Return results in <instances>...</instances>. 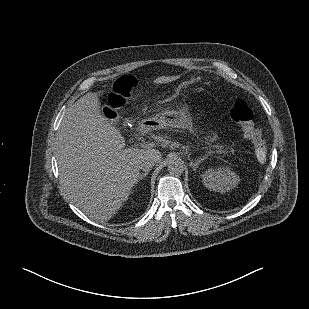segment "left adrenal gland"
<instances>
[{"label": "left adrenal gland", "instance_id": "left-adrenal-gland-1", "mask_svg": "<svg viewBox=\"0 0 309 309\" xmlns=\"http://www.w3.org/2000/svg\"><path fill=\"white\" fill-rule=\"evenodd\" d=\"M203 158H204V157H203ZM203 158H199V160H198V161H195V162H193V161L190 162V166L193 168V170H194L195 172H196V170H197L199 164L204 160Z\"/></svg>", "mask_w": 309, "mask_h": 309}]
</instances>
